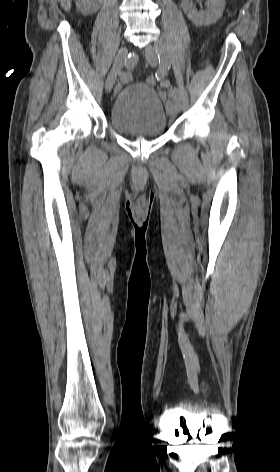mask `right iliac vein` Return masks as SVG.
Segmentation results:
<instances>
[{
  "label": "right iliac vein",
  "mask_w": 280,
  "mask_h": 472,
  "mask_svg": "<svg viewBox=\"0 0 280 472\" xmlns=\"http://www.w3.org/2000/svg\"><path fill=\"white\" fill-rule=\"evenodd\" d=\"M128 54V49L126 47H122L114 60L113 67L110 70V73L108 74V77L105 82V89L107 92H110L113 88V85L115 83L117 75L120 73L121 69L123 68V65L125 64V59Z\"/></svg>",
  "instance_id": "obj_1"
}]
</instances>
